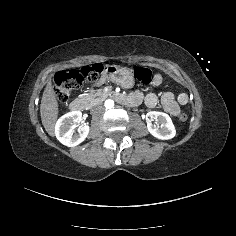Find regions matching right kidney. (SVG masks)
I'll return each mask as SVG.
<instances>
[{"mask_svg": "<svg viewBox=\"0 0 236 236\" xmlns=\"http://www.w3.org/2000/svg\"><path fill=\"white\" fill-rule=\"evenodd\" d=\"M82 117L81 112L73 111L62 116L56 124V137L65 146L76 147L88 136L90 126L85 125L76 132L75 125Z\"/></svg>", "mask_w": 236, "mask_h": 236, "instance_id": "right-kidney-1", "label": "right kidney"}]
</instances>
